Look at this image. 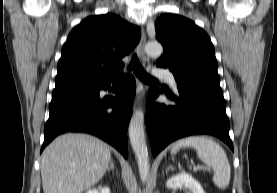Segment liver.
I'll use <instances>...</instances> for the list:
<instances>
[{"instance_id":"6515ba94","label":"liver","mask_w":277,"mask_h":193,"mask_svg":"<svg viewBox=\"0 0 277 193\" xmlns=\"http://www.w3.org/2000/svg\"><path fill=\"white\" fill-rule=\"evenodd\" d=\"M111 148L82 133L58 136L41 156L44 193H81L98 183L108 169Z\"/></svg>"}]
</instances>
